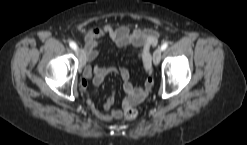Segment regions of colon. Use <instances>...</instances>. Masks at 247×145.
<instances>
[{
  "mask_svg": "<svg viewBox=\"0 0 247 145\" xmlns=\"http://www.w3.org/2000/svg\"><path fill=\"white\" fill-rule=\"evenodd\" d=\"M137 116H138V112L135 108L128 107V108H125L123 111V117L126 120H134L137 118Z\"/></svg>",
  "mask_w": 247,
  "mask_h": 145,
  "instance_id": "obj_1",
  "label": "colon"
}]
</instances>
